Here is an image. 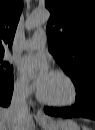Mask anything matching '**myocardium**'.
<instances>
[{"instance_id":"1","label":"myocardium","mask_w":95,"mask_h":130,"mask_svg":"<svg viewBox=\"0 0 95 130\" xmlns=\"http://www.w3.org/2000/svg\"><path fill=\"white\" fill-rule=\"evenodd\" d=\"M51 73L60 75V76L64 77L68 81V83L70 84V86L72 88V97H71L70 100H68L66 102L51 101V100L45 98L42 95L40 89L38 88L37 97H38L39 101L46 104V105L56 106V107H66V106L73 105L76 102L77 98H78V88H77V85H76L75 81L73 80V78L68 73H66L65 71H63L61 69H54Z\"/></svg>"}]
</instances>
